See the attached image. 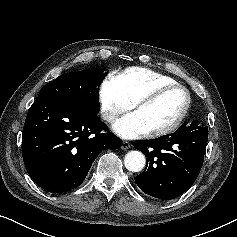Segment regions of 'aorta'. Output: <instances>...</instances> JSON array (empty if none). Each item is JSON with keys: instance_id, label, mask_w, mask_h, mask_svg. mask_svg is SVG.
<instances>
[{"instance_id": "aorta-1", "label": "aorta", "mask_w": 237, "mask_h": 237, "mask_svg": "<svg viewBox=\"0 0 237 237\" xmlns=\"http://www.w3.org/2000/svg\"><path fill=\"white\" fill-rule=\"evenodd\" d=\"M146 163L143 153L137 150L128 152L124 157V165L127 170L132 172L141 171Z\"/></svg>"}]
</instances>
